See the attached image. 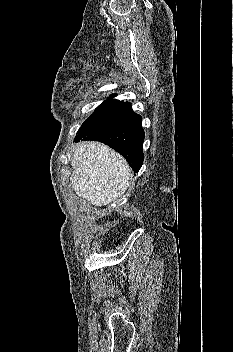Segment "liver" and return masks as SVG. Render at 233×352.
<instances>
[{"instance_id": "6515ba94", "label": "liver", "mask_w": 233, "mask_h": 352, "mask_svg": "<svg viewBox=\"0 0 233 352\" xmlns=\"http://www.w3.org/2000/svg\"><path fill=\"white\" fill-rule=\"evenodd\" d=\"M71 186L94 206L108 205L129 186L131 170L126 160L98 142L80 143L72 157Z\"/></svg>"}]
</instances>
